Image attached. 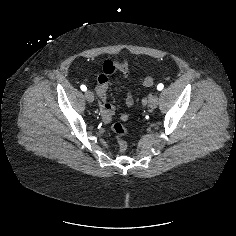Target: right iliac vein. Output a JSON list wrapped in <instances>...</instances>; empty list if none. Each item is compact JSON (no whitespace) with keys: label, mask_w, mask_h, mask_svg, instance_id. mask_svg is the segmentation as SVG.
Instances as JSON below:
<instances>
[{"label":"right iliac vein","mask_w":236,"mask_h":236,"mask_svg":"<svg viewBox=\"0 0 236 236\" xmlns=\"http://www.w3.org/2000/svg\"><path fill=\"white\" fill-rule=\"evenodd\" d=\"M85 98L88 102H93L94 101V94L91 91H86L85 92Z\"/></svg>","instance_id":"right-iliac-vein-1"}]
</instances>
